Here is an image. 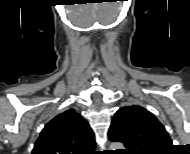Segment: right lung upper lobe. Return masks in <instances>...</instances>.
I'll return each instance as SVG.
<instances>
[{"mask_svg": "<svg viewBox=\"0 0 190 154\" xmlns=\"http://www.w3.org/2000/svg\"><path fill=\"white\" fill-rule=\"evenodd\" d=\"M95 145L89 124L74 109H68L45 125L32 154H91Z\"/></svg>", "mask_w": 190, "mask_h": 154, "instance_id": "cb5924a9", "label": "right lung upper lobe"}]
</instances>
